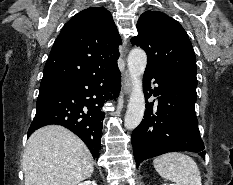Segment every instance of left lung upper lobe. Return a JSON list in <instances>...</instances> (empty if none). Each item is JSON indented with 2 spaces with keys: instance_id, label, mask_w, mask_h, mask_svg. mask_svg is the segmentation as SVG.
<instances>
[{
  "instance_id": "obj_1",
  "label": "left lung upper lobe",
  "mask_w": 233,
  "mask_h": 185,
  "mask_svg": "<svg viewBox=\"0 0 233 185\" xmlns=\"http://www.w3.org/2000/svg\"><path fill=\"white\" fill-rule=\"evenodd\" d=\"M131 43L147 54V70L158 75L196 79V57L189 37L173 18L159 11L144 12ZM197 80V79H196Z\"/></svg>"
}]
</instances>
